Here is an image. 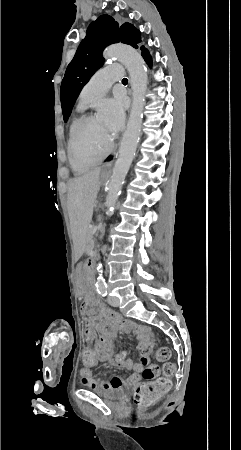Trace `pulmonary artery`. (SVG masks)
I'll return each instance as SVG.
<instances>
[{"instance_id":"1","label":"pulmonary artery","mask_w":241,"mask_h":450,"mask_svg":"<svg viewBox=\"0 0 241 450\" xmlns=\"http://www.w3.org/2000/svg\"><path fill=\"white\" fill-rule=\"evenodd\" d=\"M122 65L121 64H102L101 69H97L96 74L93 76V83L90 88L84 90L86 97H93L95 92H99L100 95L104 94L107 88H104L102 83L107 82V78H122Z\"/></svg>"}]
</instances>
